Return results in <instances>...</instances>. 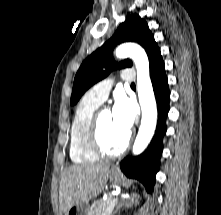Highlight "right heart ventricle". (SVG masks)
I'll list each match as a JSON object with an SVG mask.
<instances>
[{
    "label": "right heart ventricle",
    "mask_w": 221,
    "mask_h": 215,
    "mask_svg": "<svg viewBox=\"0 0 221 215\" xmlns=\"http://www.w3.org/2000/svg\"><path fill=\"white\" fill-rule=\"evenodd\" d=\"M101 103L87 93L75 109L69 140V155L74 163L87 164L99 160V156L89 146L88 132L92 118Z\"/></svg>",
    "instance_id": "obj_1"
}]
</instances>
